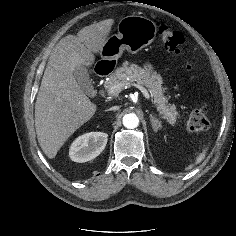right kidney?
Here are the masks:
<instances>
[{
	"label": "right kidney",
	"instance_id": "1",
	"mask_svg": "<svg viewBox=\"0 0 236 236\" xmlns=\"http://www.w3.org/2000/svg\"><path fill=\"white\" fill-rule=\"evenodd\" d=\"M107 137L103 132H90L79 136L70 147L71 160L83 163L96 158L104 150Z\"/></svg>",
	"mask_w": 236,
	"mask_h": 236
}]
</instances>
